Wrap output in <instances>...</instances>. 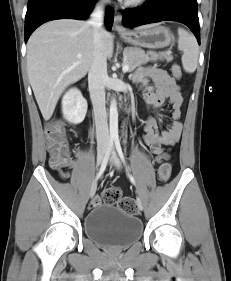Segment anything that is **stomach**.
I'll use <instances>...</instances> for the list:
<instances>
[{
    "label": "stomach",
    "instance_id": "0dacf381",
    "mask_svg": "<svg viewBox=\"0 0 231 281\" xmlns=\"http://www.w3.org/2000/svg\"><path fill=\"white\" fill-rule=\"evenodd\" d=\"M121 37L127 43L145 48H165L172 41V33L164 26L151 24L126 31Z\"/></svg>",
    "mask_w": 231,
    "mask_h": 281
}]
</instances>
